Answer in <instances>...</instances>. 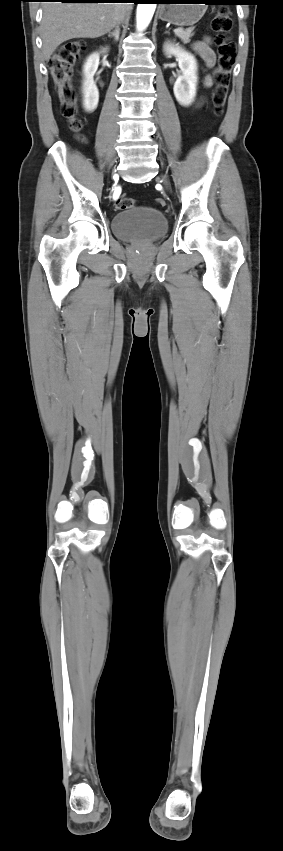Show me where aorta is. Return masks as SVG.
I'll return each instance as SVG.
<instances>
[{
	"mask_svg": "<svg viewBox=\"0 0 283 851\" xmlns=\"http://www.w3.org/2000/svg\"><path fill=\"white\" fill-rule=\"evenodd\" d=\"M155 9H156V4H154V3H139L138 4L136 19H137V26L140 30L145 29L149 25V23H150V21L153 17V14L155 12Z\"/></svg>",
	"mask_w": 283,
	"mask_h": 851,
	"instance_id": "762f6f07",
	"label": "aorta"
}]
</instances>
